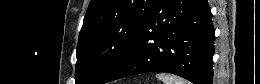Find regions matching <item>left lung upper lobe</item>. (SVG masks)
<instances>
[{
  "instance_id": "1",
  "label": "left lung upper lobe",
  "mask_w": 260,
  "mask_h": 84,
  "mask_svg": "<svg viewBox=\"0 0 260 84\" xmlns=\"http://www.w3.org/2000/svg\"><path fill=\"white\" fill-rule=\"evenodd\" d=\"M156 0H91L77 45L76 84H103L130 50Z\"/></svg>"
}]
</instances>
